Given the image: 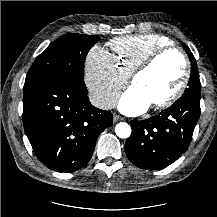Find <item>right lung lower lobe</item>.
<instances>
[{"mask_svg":"<svg viewBox=\"0 0 217 217\" xmlns=\"http://www.w3.org/2000/svg\"><path fill=\"white\" fill-rule=\"evenodd\" d=\"M85 85L50 75L24 85L23 124L38 159L57 172H74L90 160L110 111L94 107Z\"/></svg>","mask_w":217,"mask_h":217,"instance_id":"1","label":"right lung lower lobe"}]
</instances>
